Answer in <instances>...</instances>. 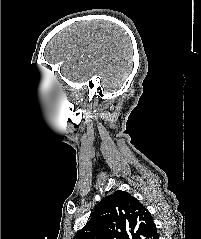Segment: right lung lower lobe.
<instances>
[{
	"label": "right lung lower lobe",
	"mask_w": 201,
	"mask_h": 239,
	"mask_svg": "<svg viewBox=\"0 0 201 239\" xmlns=\"http://www.w3.org/2000/svg\"><path fill=\"white\" fill-rule=\"evenodd\" d=\"M155 239H158V235L155 237Z\"/></svg>",
	"instance_id": "98d812e1"
}]
</instances>
